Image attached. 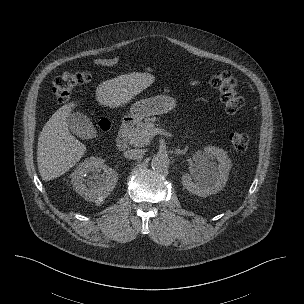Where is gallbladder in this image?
Returning a JSON list of instances; mask_svg holds the SVG:
<instances>
[{
  "label": "gallbladder",
  "instance_id": "bac80fb5",
  "mask_svg": "<svg viewBox=\"0 0 304 304\" xmlns=\"http://www.w3.org/2000/svg\"><path fill=\"white\" fill-rule=\"evenodd\" d=\"M67 124L70 131L77 137L89 139L96 133L90 119L80 112H73L68 116Z\"/></svg>",
  "mask_w": 304,
  "mask_h": 304
}]
</instances>
